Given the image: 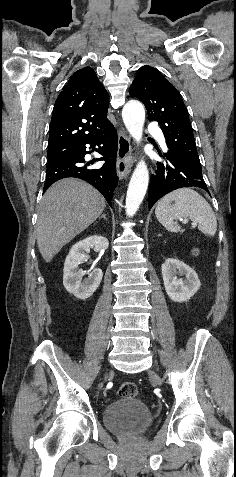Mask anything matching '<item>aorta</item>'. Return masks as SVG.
Masks as SVG:
<instances>
[{"label": "aorta", "instance_id": "1", "mask_svg": "<svg viewBox=\"0 0 236 477\" xmlns=\"http://www.w3.org/2000/svg\"><path fill=\"white\" fill-rule=\"evenodd\" d=\"M123 122L133 139L140 143L145 122V109L136 100L128 101L122 110ZM149 171L144 160H141L131 176L125 202L126 214L132 217L138 210L147 191Z\"/></svg>", "mask_w": 236, "mask_h": 477}]
</instances>
